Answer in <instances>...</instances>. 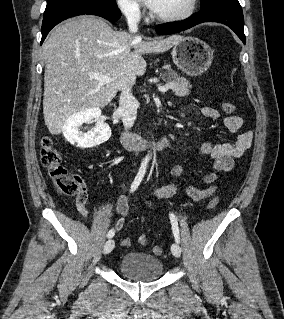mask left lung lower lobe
<instances>
[{"label": "left lung lower lobe", "instance_id": "1", "mask_svg": "<svg viewBox=\"0 0 284 319\" xmlns=\"http://www.w3.org/2000/svg\"><path fill=\"white\" fill-rule=\"evenodd\" d=\"M203 22H218L225 24L237 34L244 44L246 42L243 30V12L241 6L237 4H221L207 10H201L186 20L158 25L156 26V32L160 35L173 34Z\"/></svg>", "mask_w": 284, "mask_h": 319}]
</instances>
